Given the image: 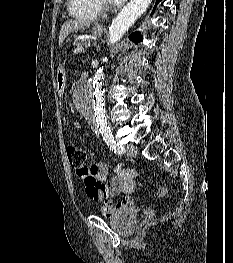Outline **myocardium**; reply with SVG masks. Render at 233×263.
I'll return each mask as SVG.
<instances>
[{
    "label": "myocardium",
    "mask_w": 233,
    "mask_h": 263,
    "mask_svg": "<svg viewBox=\"0 0 233 263\" xmlns=\"http://www.w3.org/2000/svg\"><path fill=\"white\" fill-rule=\"evenodd\" d=\"M96 3L100 9L108 10L112 7V4L109 0H96Z\"/></svg>",
    "instance_id": "f54148a6"
}]
</instances>
